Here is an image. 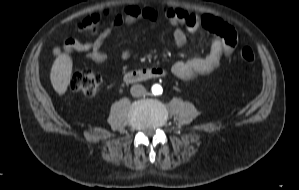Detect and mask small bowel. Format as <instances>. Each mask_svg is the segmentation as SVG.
<instances>
[{"label":"small bowel","instance_id":"small-bowel-1","mask_svg":"<svg viewBox=\"0 0 299 190\" xmlns=\"http://www.w3.org/2000/svg\"><path fill=\"white\" fill-rule=\"evenodd\" d=\"M166 16L171 26L174 27L173 39L177 46H183L186 42V31L194 32L202 25V18L209 19V23L204 25L210 31L215 33L209 53L204 57H196L189 60H177L171 68L172 73L182 79L190 80L212 72L219 64L222 56L229 55L237 42V33L235 29L224 22L222 19L213 15L200 17L189 12L185 8L169 7L166 10ZM160 17V11L152 7H140L135 4H128L123 8V13L116 15L113 19V27L123 24H132L139 19H148L155 22ZM181 26H184L181 27ZM111 29H105L93 42L85 43L78 41L73 37L65 40L63 48L55 47L54 54L60 55L63 51L82 52L95 62L103 63L107 59L102 46L109 36ZM122 58L127 59L130 56L128 51L121 54Z\"/></svg>","mask_w":299,"mask_h":190}]
</instances>
